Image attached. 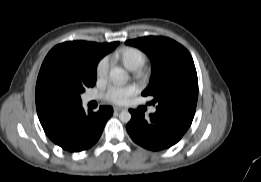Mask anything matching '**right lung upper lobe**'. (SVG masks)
<instances>
[{
    "label": "right lung upper lobe",
    "instance_id": "obj_1",
    "mask_svg": "<svg viewBox=\"0 0 261 182\" xmlns=\"http://www.w3.org/2000/svg\"><path fill=\"white\" fill-rule=\"evenodd\" d=\"M119 42L113 43H94L86 41L65 42L55 46L46 56L43 66L51 59H59L61 61L81 62L89 56H95L99 60L111 52ZM42 70V67L41 69ZM36 108L41 124L49 121L58 111L65 108L71 103L54 95L41 84V72H39L36 84Z\"/></svg>",
    "mask_w": 261,
    "mask_h": 182
}]
</instances>
